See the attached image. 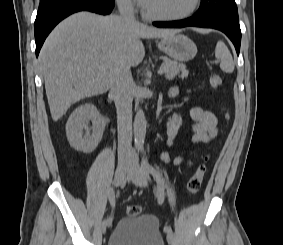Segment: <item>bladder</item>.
<instances>
[{
  "mask_svg": "<svg viewBox=\"0 0 283 245\" xmlns=\"http://www.w3.org/2000/svg\"><path fill=\"white\" fill-rule=\"evenodd\" d=\"M107 245H164V239L157 217L144 213L119 220Z\"/></svg>",
  "mask_w": 283,
  "mask_h": 245,
  "instance_id": "31cf9c89",
  "label": "bladder"
}]
</instances>
